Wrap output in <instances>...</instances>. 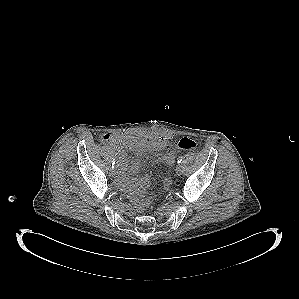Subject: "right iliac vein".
Instances as JSON below:
<instances>
[{"label":"right iliac vein","mask_w":299,"mask_h":299,"mask_svg":"<svg viewBox=\"0 0 299 299\" xmlns=\"http://www.w3.org/2000/svg\"><path fill=\"white\" fill-rule=\"evenodd\" d=\"M110 175L112 177H115L116 176V171L114 169H110Z\"/></svg>","instance_id":"obj_1"}]
</instances>
